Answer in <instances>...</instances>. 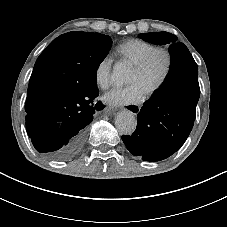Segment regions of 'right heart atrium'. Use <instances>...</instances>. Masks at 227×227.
<instances>
[{"mask_svg":"<svg viewBox=\"0 0 227 227\" xmlns=\"http://www.w3.org/2000/svg\"><path fill=\"white\" fill-rule=\"evenodd\" d=\"M112 59L109 56L102 58L94 72V78L98 88L107 89L111 83Z\"/></svg>","mask_w":227,"mask_h":227,"instance_id":"right-heart-atrium-1","label":"right heart atrium"}]
</instances>
